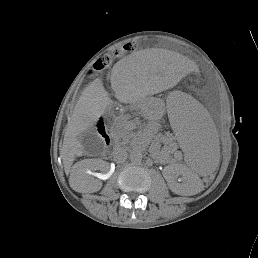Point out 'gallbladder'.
Returning <instances> with one entry per match:
<instances>
[{
  "label": "gallbladder",
  "instance_id": "gallbladder-1",
  "mask_svg": "<svg viewBox=\"0 0 258 258\" xmlns=\"http://www.w3.org/2000/svg\"><path fill=\"white\" fill-rule=\"evenodd\" d=\"M84 151L88 154H96L102 150L101 137L92 129L84 131L78 136Z\"/></svg>",
  "mask_w": 258,
  "mask_h": 258
}]
</instances>
